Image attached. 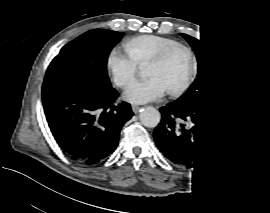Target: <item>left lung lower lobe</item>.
<instances>
[{
    "mask_svg": "<svg viewBox=\"0 0 270 213\" xmlns=\"http://www.w3.org/2000/svg\"><path fill=\"white\" fill-rule=\"evenodd\" d=\"M226 104L227 90H223L200 100L178 99L160 108L162 119L154 130L156 145L170 161L188 168L208 160L219 149L231 122ZM189 119L194 125L187 129Z\"/></svg>",
    "mask_w": 270,
    "mask_h": 213,
    "instance_id": "0a47b994",
    "label": "left lung lower lobe"
}]
</instances>
